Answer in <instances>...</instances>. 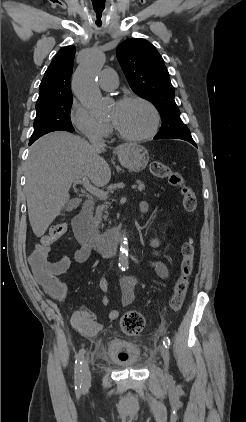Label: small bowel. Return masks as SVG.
I'll return each mask as SVG.
<instances>
[{
    "mask_svg": "<svg viewBox=\"0 0 246 422\" xmlns=\"http://www.w3.org/2000/svg\"><path fill=\"white\" fill-rule=\"evenodd\" d=\"M147 209L148 205L143 204L142 210L147 211ZM158 244V240L152 241L154 247H157ZM90 251V248L82 245V247L76 250L73 257L61 256L57 261L50 262L46 277L37 278V281L44 292L54 300L64 302L68 290L66 284L62 282L58 276L64 274L70 268L72 262H85L90 255ZM152 266L160 279L164 280L168 277V269L162 261H154L152 262ZM140 281L141 279L137 276L126 277L121 281V302L124 306H129L134 302V287L138 285ZM99 287L104 293H107L108 282L106 276L100 278ZM102 302L104 305H107L109 303V297L105 295ZM108 316L112 321L117 320L119 312L117 310H111ZM72 323L80 333L87 337L94 336L102 327L96 315L86 309L75 311L72 316Z\"/></svg>",
    "mask_w": 246,
    "mask_h": 422,
    "instance_id": "small-bowel-1",
    "label": "small bowel"
}]
</instances>
